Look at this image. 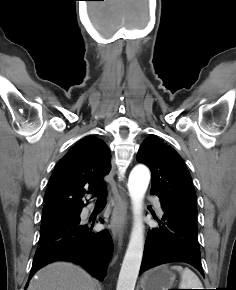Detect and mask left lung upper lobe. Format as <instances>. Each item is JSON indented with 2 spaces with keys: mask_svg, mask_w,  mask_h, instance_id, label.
Wrapping results in <instances>:
<instances>
[{
  "mask_svg": "<svg viewBox=\"0 0 236 290\" xmlns=\"http://www.w3.org/2000/svg\"><path fill=\"white\" fill-rule=\"evenodd\" d=\"M152 173L151 193L175 216L197 227L196 194L189 171L177 152L155 135L147 137L137 154Z\"/></svg>",
  "mask_w": 236,
  "mask_h": 290,
  "instance_id": "obj_1",
  "label": "left lung upper lobe"
}]
</instances>
